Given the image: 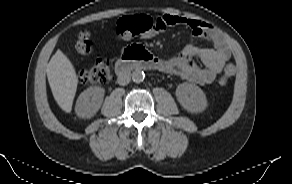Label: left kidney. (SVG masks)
<instances>
[{
  "instance_id": "1",
  "label": "left kidney",
  "mask_w": 292,
  "mask_h": 184,
  "mask_svg": "<svg viewBox=\"0 0 292 184\" xmlns=\"http://www.w3.org/2000/svg\"><path fill=\"white\" fill-rule=\"evenodd\" d=\"M176 97L181 106L192 113L203 112L208 105L205 93L195 84H179Z\"/></svg>"
}]
</instances>
